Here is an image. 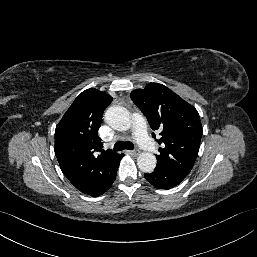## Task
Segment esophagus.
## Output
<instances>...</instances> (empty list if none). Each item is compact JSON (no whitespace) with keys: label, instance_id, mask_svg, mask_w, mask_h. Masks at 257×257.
<instances>
[{"label":"esophagus","instance_id":"1","mask_svg":"<svg viewBox=\"0 0 257 257\" xmlns=\"http://www.w3.org/2000/svg\"><path fill=\"white\" fill-rule=\"evenodd\" d=\"M131 154L133 156H138L140 154V150L139 149H135V150L131 151Z\"/></svg>","mask_w":257,"mask_h":257}]
</instances>
